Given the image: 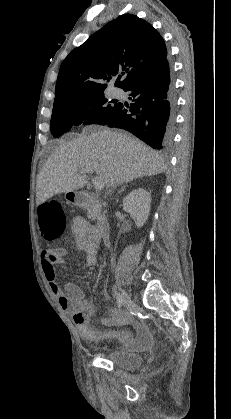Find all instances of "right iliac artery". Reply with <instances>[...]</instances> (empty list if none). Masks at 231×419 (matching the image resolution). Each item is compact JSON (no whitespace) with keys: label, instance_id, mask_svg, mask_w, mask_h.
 I'll return each instance as SVG.
<instances>
[{"label":"right iliac artery","instance_id":"obj_1","mask_svg":"<svg viewBox=\"0 0 231 419\" xmlns=\"http://www.w3.org/2000/svg\"><path fill=\"white\" fill-rule=\"evenodd\" d=\"M115 297H116V301H117V305L118 307L122 306V298L119 294L115 293Z\"/></svg>","mask_w":231,"mask_h":419}]
</instances>
